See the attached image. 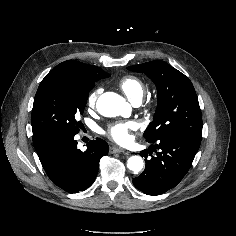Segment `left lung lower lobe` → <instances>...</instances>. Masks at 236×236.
I'll use <instances>...</instances> for the list:
<instances>
[{
  "label": "left lung lower lobe",
  "mask_w": 236,
  "mask_h": 236,
  "mask_svg": "<svg viewBox=\"0 0 236 236\" xmlns=\"http://www.w3.org/2000/svg\"><path fill=\"white\" fill-rule=\"evenodd\" d=\"M148 142L154 144L151 148L160 149V152L147 160L148 151H142L140 155L145 156L146 167L133 179V184L145 194L156 196L175 187L182 180L191 167L201 140L173 135ZM149 153H152L151 149Z\"/></svg>",
  "instance_id": "1"
}]
</instances>
